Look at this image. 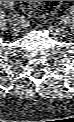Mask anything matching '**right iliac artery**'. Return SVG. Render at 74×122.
Instances as JSON below:
<instances>
[{"label":"right iliac artery","instance_id":"1","mask_svg":"<svg viewBox=\"0 0 74 122\" xmlns=\"http://www.w3.org/2000/svg\"><path fill=\"white\" fill-rule=\"evenodd\" d=\"M10 22H11V24L16 25V19L15 18H12Z\"/></svg>","mask_w":74,"mask_h":122}]
</instances>
